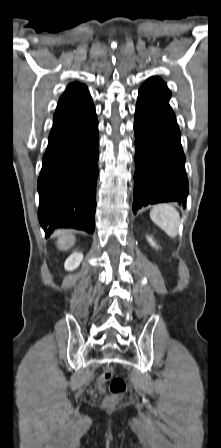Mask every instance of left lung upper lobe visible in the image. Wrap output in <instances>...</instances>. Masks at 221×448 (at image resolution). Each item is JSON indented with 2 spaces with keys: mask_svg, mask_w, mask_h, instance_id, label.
I'll list each match as a JSON object with an SVG mask.
<instances>
[{
  "mask_svg": "<svg viewBox=\"0 0 221 448\" xmlns=\"http://www.w3.org/2000/svg\"><path fill=\"white\" fill-rule=\"evenodd\" d=\"M141 87L153 90L166 96H171V92L165 82L158 77H151L147 79Z\"/></svg>",
  "mask_w": 221,
  "mask_h": 448,
  "instance_id": "1",
  "label": "left lung upper lobe"
}]
</instances>
